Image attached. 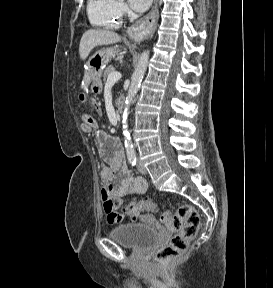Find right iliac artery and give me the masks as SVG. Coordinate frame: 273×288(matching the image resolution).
<instances>
[{
	"mask_svg": "<svg viewBox=\"0 0 273 288\" xmlns=\"http://www.w3.org/2000/svg\"><path fill=\"white\" fill-rule=\"evenodd\" d=\"M127 157H128L130 164L134 166L137 161L136 154H128Z\"/></svg>",
	"mask_w": 273,
	"mask_h": 288,
	"instance_id": "1",
	"label": "right iliac artery"
}]
</instances>
